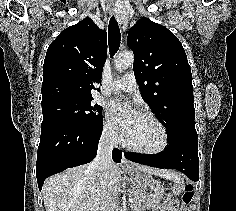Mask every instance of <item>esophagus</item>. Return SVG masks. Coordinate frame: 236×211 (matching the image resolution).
I'll return each mask as SVG.
<instances>
[{
  "label": "esophagus",
  "instance_id": "obj_1",
  "mask_svg": "<svg viewBox=\"0 0 236 211\" xmlns=\"http://www.w3.org/2000/svg\"><path fill=\"white\" fill-rule=\"evenodd\" d=\"M115 9L114 8H110L109 9V13L112 15L114 14ZM121 167L124 168H133L134 164L132 162H130L125 156L124 154L122 155V160H121Z\"/></svg>",
  "mask_w": 236,
  "mask_h": 211
}]
</instances>
